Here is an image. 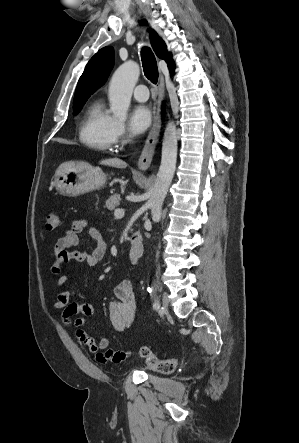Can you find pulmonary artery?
Returning a JSON list of instances; mask_svg holds the SVG:
<instances>
[{
	"label": "pulmonary artery",
	"instance_id": "e3ab8cb5",
	"mask_svg": "<svg viewBox=\"0 0 299 443\" xmlns=\"http://www.w3.org/2000/svg\"><path fill=\"white\" fill-rule=\"evenodd\" d=\"M133 96L137 101L145 102L149 98V91L146 85L139 84L133 91Z\"/></svg>",
	"mask_w": 299,
	"mask_h": 443
}]
</instances>
